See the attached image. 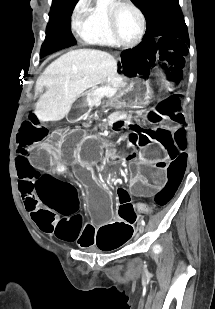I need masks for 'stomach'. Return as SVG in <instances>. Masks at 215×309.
Here are the masks:
<instances>
[{
  "label": "stomach",
  "instance_id": "stomach-1",
  "mask_svg": "<svg viewBox=\"0 0 215 309\" xmlns=\"http://www.w3.org/2000/svg\"><path fill=\"white\" fill-rule=\"evenodd\" d=\"M159 86L165 87L169 84L165 76H161L157 80ZM151 86L149 81H143L141 79H136L128 87H126L120 94L124 97L126 101H133L136 99H143L150 91Z\"/></svg>",
  "mask_w": 215,
  "mask_h": 309
}]
</instances>
